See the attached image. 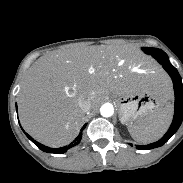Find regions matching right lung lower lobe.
<instances>
[{
  "mask_svg": "<svg viewBox=\"0 0 183 183\" xmlns=\"http://www.w3.org/2000/svg\"><path fill=\"white\" fill-rule=\"evenodd\" d=\"M16 109H17V105H16ZM87 124H85L81 131H83L85 129ZM23 130V129H22ZM24 131V130H23ZM26 134V136L42 151L44 152H48V153H54V154H63L65 153L67 150H69L70 148L76 146L77 144L80 143L81 141V138H82V133H80L76 139L70 143L69 145L67 146H64V147H60V148H50V147H47L45 145H42L40 143H38L37 141H35L31 136H29L26 132H24Z\"/></svg>",
  "mask_w": 183,
  "mask_h": 183,
  "instance_id": "right-lung-lower-lobe-1",
  "label": "right lung lower lobe"
}]
</instances>
